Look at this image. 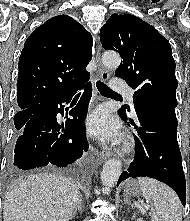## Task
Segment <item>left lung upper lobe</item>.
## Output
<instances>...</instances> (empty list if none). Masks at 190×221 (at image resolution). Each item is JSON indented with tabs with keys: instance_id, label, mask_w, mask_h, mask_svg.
<instances>
[{
	"instance_id": "left-lung-upper-lobe-1",
	"label": "left lung upper lobe",
	"mask_w": 190,
	"mask_h": 221,
	"mask_svg": "<svg viewBox=\"0 0 190 221\" xmlns=\"http://www.w3.org/2000/svg\"><path fill=\"white\" fill-rule=\"evenodd\" d=\"M100 41L106 50L121 55L115 75L135 89L134 107L143 103L177 106L172 49L153 26L133 15L112 14L100 30ZM118 113L126 116L125 108Z\"/></svg>"
}]
</instances>
